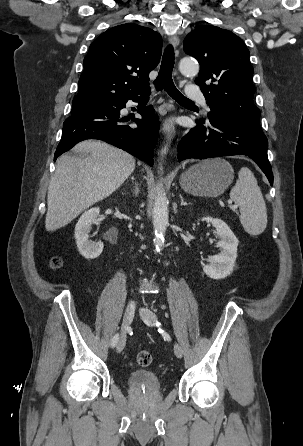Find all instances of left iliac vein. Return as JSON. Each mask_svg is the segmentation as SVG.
Masks as SVG:
<instances>
[{"instance_id":"obj_1","label":"left iliac vein","mask_w":303,"mask_h":446,"mask_svg":"<svg viewBox=\"0 0 303 446\" xmlns=\"http://www.w3.org/2000/svg\"><path fill=\"white\" fill-rule=\"evenodd\" d=\"M140 315L141 318L143 319V321L148 325V326H153L155 325V321L157 320V316L156 314L151 311L148 308H141L140 309ZM174 353L178 358H181L183 355V349L182 347L178 344L175 343L174 345Z\"/></svg>"}]
</instances>
